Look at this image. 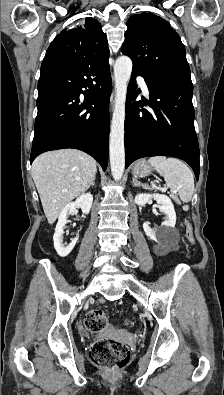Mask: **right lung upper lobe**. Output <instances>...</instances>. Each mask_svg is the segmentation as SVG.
<instances>
[{
    "label": "right lung upper lobe",
    "mask_w": 224,
    "mask_h": 395,
    "mask_svg": "<svg viewBox=\"0 0 224 395\" xmlns=\"http://www.w3.org/2000/svg\"><path fill=\"white\" fill-rule=\"evenodd\" d=\"M109 48L101 24L88 17L79 27L64 29L46 51L44 60L54 59L80 68L108 63Z\"/></svg>",
    "instance_id": "obj_1"
}]
</instances>
